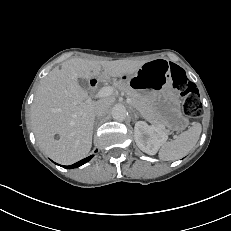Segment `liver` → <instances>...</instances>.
Listing matches in <instances>:
<instances>
[{
	"label": "liver",
	"instance_id": "obj_1",
	"mask_svg": "<svg viewBox=\"0 0 231 231\" xmlns=\"http://www.w3.org/2000/svg\"><path fill=\"white\" fill-rule=\"evenodd\" d=\"M145 62L73 58L52 69L42 79L31 106L33 131L40 149L64 165L86 157L92 146L95 105L102 101L110 106L113 99L91 101L78 79L106 81L109 77L131 75ZM56 134L58 140L54 139Z\"/></svg>",
	"mask_w": 231,
	"mask_h": 231
}]
</instances>
